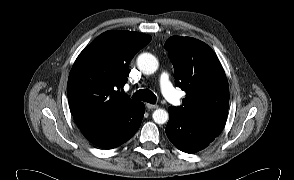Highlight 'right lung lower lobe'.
Masks as SVG:
<instances>
[{
	"label": "right lung lower lobe",
	"instance_id": "98d812e1",
	"mask_svg": "<svg viewBox=\"0 0 294 180\" xmlns=\"http://www.w3.org/2000/svg\"><path fill=\"white\" fill-rule=\"evenodd\" d=\"M144 113V104L135 101L112 120L102 124L84 126L80 130L94 145L106 149L114 148L129 140L136 133Z\"/></svg>",
	"mask_w": 294,
	"mask_h": 180
}]
</instances>
